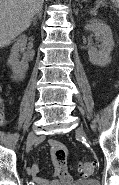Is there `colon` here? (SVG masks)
Returning a JSON list of instances; mask_svg holds the SVG:
<instances>
[{"mask_svg":"<svg viewBox=\"0 0 119 185\" xmlns=\"http://www.w3.org/2000/svg\"><path fill=\"white\" fill-rule=\"evenodd\" d=\"M93 171H94V164L92 162H84L78 165V172L82 177H87L91 175Z\"/></svg>","mask_w":119,"mask_h":185,"instance_id":"5ec220e1","label":"colon"}]
</instances>
